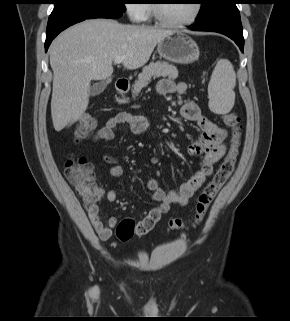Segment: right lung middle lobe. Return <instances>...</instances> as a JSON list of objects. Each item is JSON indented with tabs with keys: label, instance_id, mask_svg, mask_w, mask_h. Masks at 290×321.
Listing matches in <instances>:
<instances>
[{
	"label": "right lung middle lobe",
	"instance_id": "dd1d6c3e",
	"mask_svg": "<svg viewBox=\"0 0 290 321\" xmlns=\"http://www.w3.org/2000/svg\"><path fill=\"white\" fill-rule=\"evenodd\" d=\"M125 0H53L51 17L59 15H100L126 11Z\"/></svg>",
	"mask_w": 290,
	"mask_h": 321
}]
</instances>
